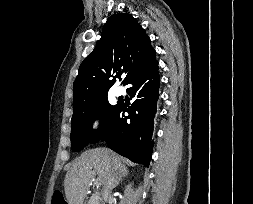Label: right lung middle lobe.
Returning <instances> with one entry per match:
<instances>
[{
    "label": "right lung middle lobe",
    "instance_id": "dd1d6c3e",
    "mask_svg": "<svg viewBox=\"0 0 253 204\" xmlns=\"http://www.w3.org/2000/svg\"><path fill=\"white\" fill-rule=\"evenodd\" d=\"M118 104L111 106L107 95L85 106L74 109L71 120V146L73 151H78L87 143H96L102 137ZM100 119V127L97 131L92 130V122Z\"/></svg>",
    "mask_w": 253,
    "mask_h": 204
}]
</instances>
